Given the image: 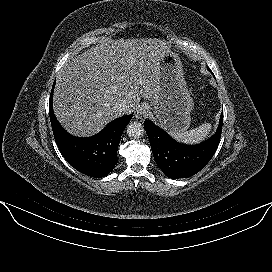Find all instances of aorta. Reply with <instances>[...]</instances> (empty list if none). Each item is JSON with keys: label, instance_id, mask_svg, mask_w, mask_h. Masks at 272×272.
Returning a JSON list of instances; mask_svg holds the SVG:
<instances>
[{"label": "aorta", "instance_id": "1", "mask_svg": "<svg viewBox=\"0 0 272 272\" xmlns=\"http://www.w3.org/2000/svg\"><path fill=\"white\" fill-rule=\"evenodd\" d=\"M127 135L131 139H139L144 135V127L140 122L134 121L127 125Z\"/></svg>", "mask_w": 272, "mask_h": 272}]
</instances>
